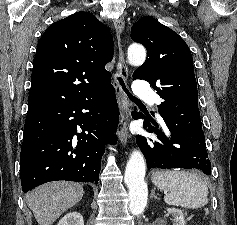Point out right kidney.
<instances>
[{
    "label": "right kidney",
    "instance_id": "1",
    "mask_svg": "<svg viewBox=\"0 0 237 225\" xmlns=\"http://www.w3.org/2000/svg\"><path fill=\"white\" fill-rule=\"evenodd\" d=\"M57 225H84V220L79 212L73 211L66 214Z\"/></svg>",
    "mask_w": 237,
    "mask_h": 225
}]
</instances>
